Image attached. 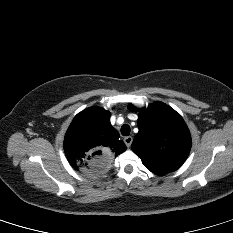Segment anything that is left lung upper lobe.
Listing matches in <instances>:
<instances>
[{
    "label": "left lung upper lobe",
    "mask_w": 233,
    "mask_h": 233,
    "mask_svg": "<svg viewBox=\"0 0 233 233\" xmlns=\"http://www.w3.org/2000/svg\"><path fill=\"white\" fill-rule=\"evenodd\" d=\"M128 108L138 111L132 104ZM138 128L131 148L151 172L164 175L184 163L191 136L182 117L170 106L156 101L140 109Z\"/></svg>",
    "instance_id": "left-lung-upper-lobe-1"
}]
</instances>
